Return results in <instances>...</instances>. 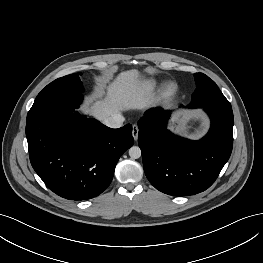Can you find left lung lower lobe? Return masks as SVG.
<instances>
[{
	"mask_svg": "<svg viewBox=\"0 0 263 263\" xmlns=\"http://www.w3.org/2000/svg\"><path fill=\"white\" fill-rule=\"evenodd\" d=\"M199 108L209 115L211 127L198 141L181 138L167 129L169 110L149 109L138 122V143L145 174L150 183L165 194L187 196L206 190L231 155L232 107L206 105Z\"/></svg>",
	"mask_w": 263,
	"mask_h": 263,
	"instance_id": "obj_1",
	"label": "left lung lower lobe"
}]
</instances>
